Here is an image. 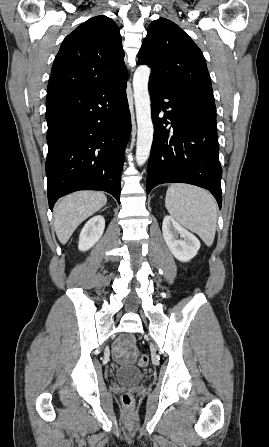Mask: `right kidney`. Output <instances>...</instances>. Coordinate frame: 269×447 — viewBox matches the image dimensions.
I'll return each mask as SVG.
<instances>
[{"mask_svg": "<svg viewBox=\"0 0 269 447\" xmlns=\"http://www.w3.org/2000/svg\"><path fill=\"white\" fill-rule=\"evenodd\" d=\"M105 227V220L103 216H94L88 220L87 224L81 229L78 241V249L87 251L93 247L94 243L100 239Z\"/></svg>", "mask_w": 269, "mask_h": 447, "instance_id": "1", "label": "right kidney"}]
</instances>
